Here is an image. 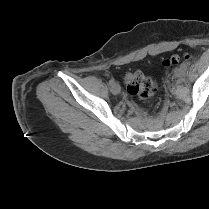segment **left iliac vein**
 I'll use <instances>...</instances> for the list:
<instances>
[{"mask_svg": "<svg viewBox=\"0 0 209 209\" xmlns=\"http://www.w3.org/2000/svg\"><path fill=\"white\" fill-rule=\"evenodd\" d=\"M175 74H176L177 76H181V75L184 74V70H183L182 68H177V69L175 70Z\"/></svg>", "mask_w": 209, "mask_h": 209, "instance_id": "obj_1", "label": "left iliac vein"}]
</instances>
